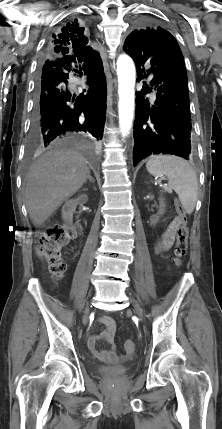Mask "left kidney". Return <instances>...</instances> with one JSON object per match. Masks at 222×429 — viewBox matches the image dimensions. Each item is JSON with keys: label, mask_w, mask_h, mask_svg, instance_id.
Wrapping results in <instances>:
<instances>
[{"label": "left kidney", "mask_w": 222, "mask_h": 429, "mask_svg": "<svg viewBox=\"0 0 222 429\" xmlns=\"http://www.w3.org/2000/svg\"><path fill=\"white\" fill-rule=\"evenodd\" d=\"M165 198H163V196H160L159 198V213L158 215H153L150 218V225H155L158 221H159V217L160 215H162L165 212Z\"/></svg>", "instance_id": "left-kidney-1"}]
</instances>
